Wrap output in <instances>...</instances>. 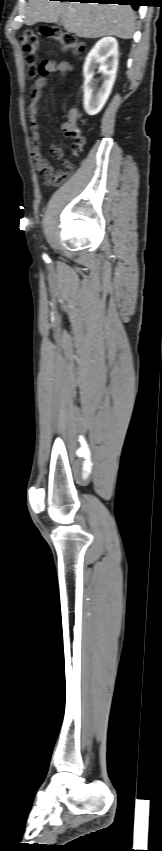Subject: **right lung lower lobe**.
<instances>
[{"label":"right lung lower lobe","instance_id":"98d812e1","mask_svg":"<svg viewBox=\"0 0 162 851\" xmlns=\"http://www.w3.org/2000/svg\"><path fill=\"white\" fill-rule=\"evenodd\" d=\"M60 1H79L99 4H119V5H136L139 6L141 0H60Z\"/></svg>","mask_w":162,"mask_h":851}]
</instances>
